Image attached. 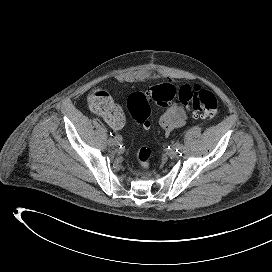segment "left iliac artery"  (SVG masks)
Here are the masks:
<instances>
[{
	"label": "left iliac artery",
	"instance_id": "1",
	"mask_svg": "<svg viewBox=\"0 0 272 272\" xmlns=\"http://www.w3.org/2000/svg\"><path fill=\"white\" fill-rule=\"evenodd\" d=\"M174 149H176V152H178V153L181 155V154H182V151H183V149H184V146H183V144H181V143H176Z\"/></svg>",
	"mask_w": 272,
	"mask_h": 272
}]
</instances>
